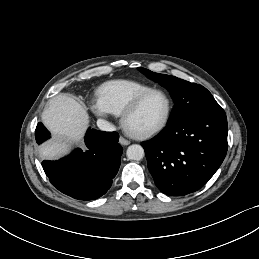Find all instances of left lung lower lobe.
<instances>
[{
	"label": "left lung lower lobe",
	"instance_id": "left-lung-lower-lobe-1",
	"mask_svg": "<svg viewBox=\"0 0 259 259\" xmlns=\"http://www.w3.org/2000/svg\"><path fill=\"white\" fill-rule=\"evenodd\" d=\"M227 134L221 107L167 124L161 133L142 143L156 186L171 196L202 188L225 158Z\"/></svg>",
	"mask_w": 259,
	"mask_h": 259
}]
</instances>
